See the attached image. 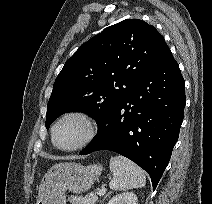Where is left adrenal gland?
Instances as JSON below:
<instances>
[{
  "label": "left adrenal gland",
  "mask_w": 212,
  "mask_h": 204,
  "mask_svg": "<svg viewBox=\"0 0 212 204\" xmlns=\"http://www.w3.org/2000/svg\"><path fill=\"white\" fill-rule=\"evenodd\" d=\"M107 197V195L103 198V200Z\"/></svg>",
  "instance_id": "a2214340"
}]
</instances>
